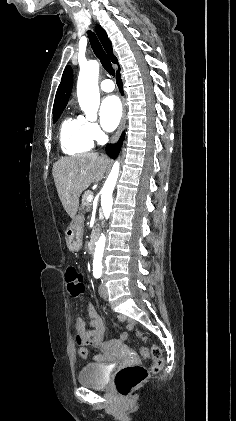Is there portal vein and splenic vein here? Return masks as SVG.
Listing matches in <instances>:
<instances>
[{
  "instance_id": "portal-vein-and-splenic-vein-1",
  "label": "portal vein and splenic vein",
  "mask_w": 236,
  "mask_h": 421,
  "mask_svg": "<svg viewBox=\"0 0 236 421\" xmlns=\"http://www.w3.org/2000/svg\"><path fill=\"white\" fill-rule=\"evenodd\" d=\"M91 198H92V194H89L88 200H91Z\"/></svg>"
}]
</instances>
